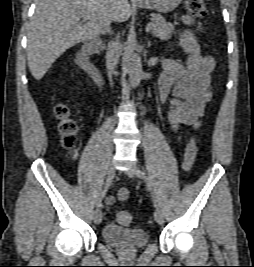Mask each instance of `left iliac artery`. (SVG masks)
<instances>
[{"instance_id":"44dca946","label":"left iliac artery","mask_w":254,"mask_h":267,"mask_svg":"<svg viewBox=\"0 0 254 267\" xmlns=\"http://www.w3.org/2000/svg\"><path fill=\"white\" fill-rule=\"evenodd\" d=\"M136 174H137V176L139 178H141V179L144 180V182L147 184L149 190L152 192V188H151L152 182H151V179L148 176H146L145 172L138 168V169H136ZM152 201H153L155 207H159L160 206L159 205V202L156 199V197H155V195H154L153 192H152Z\"/></svg>"}]
</instances>
